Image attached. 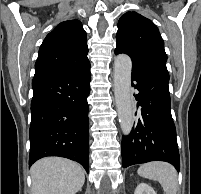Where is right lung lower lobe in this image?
<instances>
[{
    "label": "right lung lower lobe",
    "mask_w": 201,
    "mask_h": 194,
    "mask_svg": "<svg viewBox=\"0 0 201 194\" xmlns=\"http://www.w3.org/2000/svg\"><path fill=\"white\" fill-rule=\"evenodd\" d=\"M90 79V67L75 74L34 76L30 166L40 158L60 156L88 172Z\"/></svg>",
    "instance_id": "98d812e1"
}]
</instances>
